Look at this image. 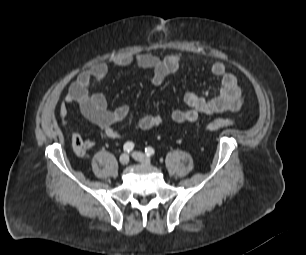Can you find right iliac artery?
<instances>
[{"label": "right iliac artery", "mask_w": 306, "mask_h": 255, "mask_svg": "<svg viewBox=\"0 0 306 255\" xmlns=\"http://www.w3.org/2000/svg\"><path fill=\"white\" fill-rule=\"evenodd\" d=\"M123 148H124V151H125V152H128V153H129V152H131V151L133 150V148H134V143L128 141V142H126V143L124 144Z\"/></svg>", "instance_id": "1"}]
</instances>
